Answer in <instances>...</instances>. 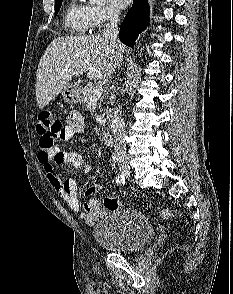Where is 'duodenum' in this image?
<instances>
[{
  "label": "duodenum",
  "mask_w": 233,
  "mask_h": 294,
  "mask_svg": "<svg viewBox=\"0 0 233 294\" xmlns=\"http://www.w3.org/2000/svg\"><path fill=\"white\" fill-rule=\"evenodd\" d=\"M101 139L104 145L110 146L113 144V138L109 131L103 130L101 133Z\"/></svg>",
  "instance_id": "duodenum-1"
}]
</instances>
